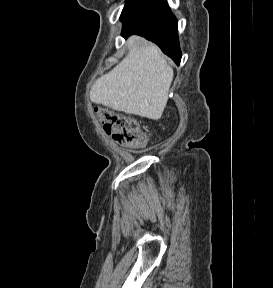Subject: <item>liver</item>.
Listing matches in <instances>:
<instances>
[{
    "instance_id": "obj_1",
    "label": "liver",
    "mask_w": 273,
    "mask_h": 288,
    "mask_svg": "<svg viewBox=\"0 0 273 288\" xmlns=\"http://www.w3.org/2000/svg\"><path fill=\"white\" fill-rule=\"evenodd\" d=\"M126 57L108 74L97 79L90 100L116 111L152 120L162 116L173 80V69L159 48L131 36Z\"/></svg>"
}]
</instances>
